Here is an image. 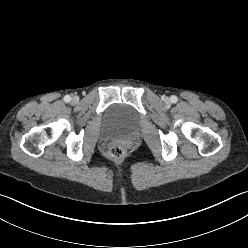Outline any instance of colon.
I'll use <instances>...</instances> for the list:
<instances>
[{
	"label": "colon",
	"instance_id": "colon-1",
	"mask_svg": "<svg viewBox=\"0 0 248 248\" xmlns=\"http://www.w3.org/2000/svg\"><path fill=\"white\" fill-rule=\"evenodd\" d=\"M126 154V148L122 143H113L108 150L110 160L117 162L123 159Z\"/></svg>",
	"mask_w": 248,
	"mask_h": 248
}]
</instances>
